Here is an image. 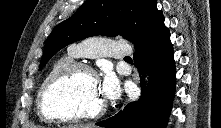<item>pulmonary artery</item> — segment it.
<instances>
[{"label":"pulmonary artery","mask_w":221,"mask_h":128,"mask_svg":"<svg viewBox=\"0 0 221 128\" xmlns=\"http://www.w3.org/2000/svg\"><path fill=\"white\" fill-rule=\"evenodd\" d=\"M70 51L77 56L91 57L108 53L115 58L128 60L131 51L126 44L120 40H102L95 37H88L71 45Z\"/></svg>","instance_id":"pulmonary-artery-1"}]
</instances>
